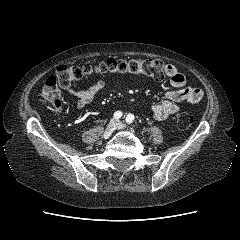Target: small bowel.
Segmentation results:
<instances>
[{
	"instance_id": "1",
	"label": "small bowel",
	"mask_w": 240,
	"mask_h": 240,
	"mask_svg": "<svg viewBox=\"0 0 240 240\" xmlns=\"http://www.w3.org/2000/svg\"><path fill=\"white\" fill-rule=\"evenodd\" d=\"M166 75L173 89L166 93L165 100L151 106L152 114L157 120H165L178 112L182 102L195 104L203 98V91L188 85L186 77L174 65H166ZM105 87L106 82L99 80L85 90H77L73 87L65 90L77 99V108L82 109L89 105Z\"/></svg>"
}]
</instances>
